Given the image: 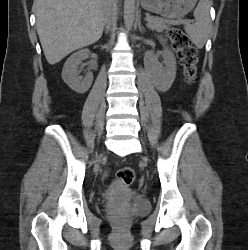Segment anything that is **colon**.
I'll return each mask as SVG.
<instances>
[{
  "label": "colon",
  "mask_w": 248,
  "mask_h": 250,
  "mask_svg": "<svg viewBox=\"0 0 248 250\" xmlns=\"http://www.w3.org/2000/svg\"><path fill=\"white\" fill-rule=\"evenodd\" d=\"M165 34L173 47L178 51L186 81L188 83L194 82L198 63L196 48L189 37L178 28L170 27ZM116 177L121 183L131 185L135 179V172L131 167L125 166L117 171Z\"/></svg>",
  "instance_id": "colon-1"
}]
</instances>
